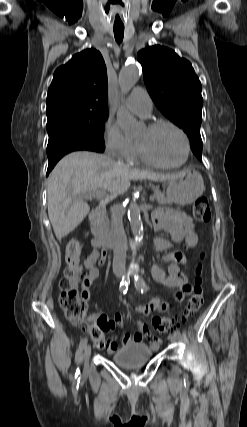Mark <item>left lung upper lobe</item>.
<instances>
[{"mask_svg": "<svg viewBox=\"0 0 247 427\" xmlns=\"http://www.w3.org/2000/svg\"><path fill=\"white\" fill-rule=\"evenodd\" d=\"M144 82L158 109L182 128L195 156L202 160L203 98L201 83L189 61L173 50L155 45L139 51Z\"/></svg>", "mask_w": 247, "mask_h": 427, "instance_id": "left-lung-upper-lobe-1", "label": "left lung upper lobe"}]
</instances>
